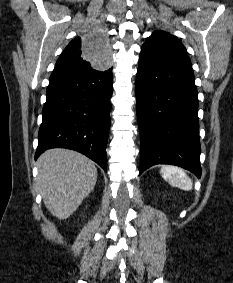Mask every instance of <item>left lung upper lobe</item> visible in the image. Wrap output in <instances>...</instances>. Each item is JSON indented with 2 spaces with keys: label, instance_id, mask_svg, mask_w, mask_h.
Instances as JSON below:
<instances>
[{
  "label": "left lung upper lobe",
  "instance_id": "1",
  "mask_svg": "<svg viewBox=\"0 0 233 283\" xmlns=\"http://www.w3.org/2000/svg\"><path fill=\"white\" fill-rule=\"evenodd\" d=\"M142 47L158 51L187 54L185 47L179 39L164 31H154L152 35L146 39V43H144Z\"/></svg>",
  "mask_w": 233,
  "mask_h": 283
}]
</instances>
